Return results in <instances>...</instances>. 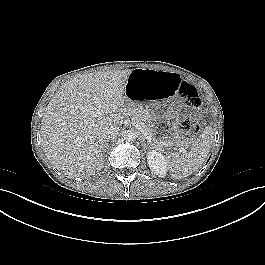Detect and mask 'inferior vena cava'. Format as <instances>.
<instances>
[{
    "instance_id": "obj_1",
    "label": "inferior vena cava",
    "mask_w": 265,
    "mask_h": 265,
    "mask_svg": "<svg viewBox=\"0 0 265 265\" xmlns=\"http://www.w3.org/2000/svg\"><path fill=\"white\" fill-rule=\"evenodd\" d=\"M119 133V128L116 126H107L101 130V137L106 141L114 139Z\"/></svg>"
}]
</instances>
